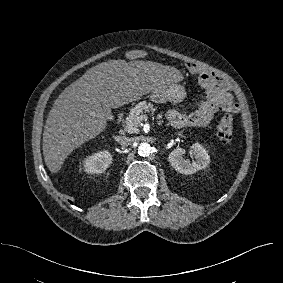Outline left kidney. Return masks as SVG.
<instances>
[{
	"label": "left kidney",
	"mask_w": 283,
	"mask_h": 283,
	"mask_svg": "<svg viewBox=\"0 0 283 283\" xmlns=\"http://www.w3.org/2000/svg\"><path fill=\"white\" fill-rule=\"evenodd\" d=\"M185 153V149L177 148L168 156V161L171 166L182 174H193L198 170L206 168L210 163V156L204 146L199 143L193 144L190 148L189 153L194 157L192 162H190V160H185L183 157Z\"/></svg>",
	"instance_id": "5707ae66"
}]
</instances>
